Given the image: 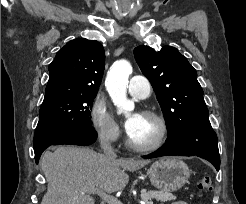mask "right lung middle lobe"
Returning <instances> with one entry per match:
<instances>
[{"mask_svg": "<svg viewBox=\"0 0 246 204\" xmlns=\"http://www.w3.org/2000/svg\"><path fill=\"white\" fill-rule=\"evenodd\" d=\"M97 94H68L43 101L34 134L37 142L57 139L76 129H91V109Z\"/></svg>", "mask_w": 246, "mask_h": 204, "instance_id": "obj_1", "label": "right lung middle lobe"}]
</instances>
